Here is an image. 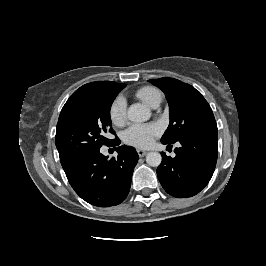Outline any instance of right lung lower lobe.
I'll list each match as a JSON object with an SVG mask.
<instances>
[{
    "label": "right lung lower lobe",
    "instance_id": "1",
    "mask_svg": "<svg viewBox=\"0 0 266 266\" xmlns=\"http://www.w3.org/2000/svg\"><path fill=\"white\" fill-rule=\"evenodd\" d=\"M116 138L109 147L118 146ZM117 158L108 160L99 150L92 152L65 171L67 179L75 192L86 202L109 207L120 204L127 197L138 154L133 148L114 147Z\"/></svg>",
    "mask_w": 266,
    "mask_h": 266
}]
</instances>
